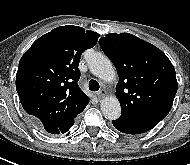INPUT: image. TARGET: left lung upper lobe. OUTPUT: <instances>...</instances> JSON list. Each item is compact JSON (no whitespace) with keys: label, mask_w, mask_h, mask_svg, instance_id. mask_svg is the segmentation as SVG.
Segmentation results:
<instances>
[{"label":"left lung upper lobe","mask_w":190,"mask_h":165,"mask_svg":"<svg viewBox=\"0 0 190 165\" xmlns=\"http://www.w3.org/2000/svg\"><path fill=\"white\" fill-rule=\"evenodd\" d=\"M99 45L117 69L121 116L156 122L166 117L178 88L168 57L129 33L107 34Z\"/></svg>","instance_id":"obj_1"}]
</instances>
